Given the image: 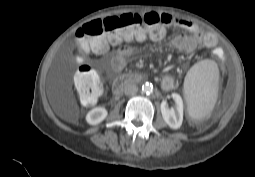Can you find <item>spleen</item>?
I'll use <instances>...</instances> for the list:
<instances>
[{
    "mask_svg": "<svg viewBox=\"0 0 255 177\" xmlns=\"http://www.w3.org/2000/svg\"><path fill=\"white\" fill-rule=\"evenodd\" d=\"M218 68L212 60L194 64L184 80L185 99L191 118L200 120L212 111L218 92Z\"/></svg>",
    "mask_w": 255,
    "mask_h": 177,
    "instance_id": "obj_1",
    "label": "spleen"
}]
</instances>
